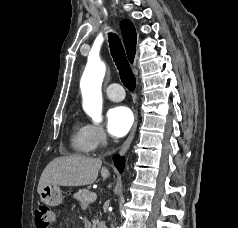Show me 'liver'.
<instances>
[{
    "label": "liver",
    "instance_id": "obj_1",
    "mask_svg": "<svg viewBox=\"0 0 238 228\" xmlns=\"http://www.w3.org/2000/svg\"><path fill=\"white\" fill-rule=\"evenodd\" d=\"M100 169L103 180H106L110 173L106 167H102L100 158H90L81 155L55 158L42 172L37 192L40 194L46 185H90L96 181Z\"/></svg>",
    "mask_w": 238,
    "mask_h": 228
}]
</instances>
